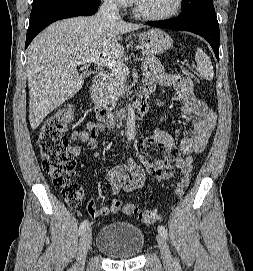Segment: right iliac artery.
I'll return each mask as SVG.
<instances>
[{
  "label": "right iliac artery",
  "mask_w": 253,
  "mask_h": 271,
  "mask_svg": "<svg viewBox=\"0 0 253 271\" xmlns=\"http://www.w3.org/2000/svg\"><path fill=\"white\" fill-rule=\"evenodd\" d=\"M89 226L88 220H84L79 227V234H82ZM69 271H73V269H70Z\"/></svg>",
  "instance_id": "obj_1"
}]
</instances>
